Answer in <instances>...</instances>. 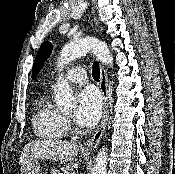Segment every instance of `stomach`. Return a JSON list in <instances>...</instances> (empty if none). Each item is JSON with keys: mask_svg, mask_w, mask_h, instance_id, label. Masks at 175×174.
<instances>
[{"mask_svg": "<svg viewBox=\"0 0 175 174\" xmlns=\"http://www.w3.org/2000/svg\"><path fill=\"white\" fill-rule=\"evenodd\" d=\"M39 172H40V164L37 160L26 162L21 167V174H40Z\"/></svg>", "mask_w": 175, "mask_h": 174, "instance_id": "0dacf381", "label": "stomach"}]
</instances>
